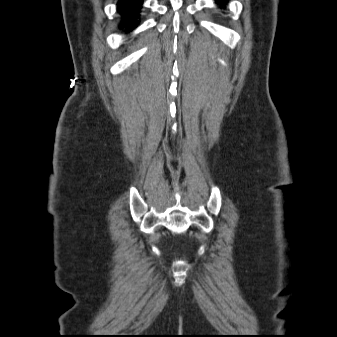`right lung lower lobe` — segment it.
<instances>
[{
  "label": "right lung lower lobe",
  "instance_id": "1",
  "mask_svg": "<svg viewBox=\"0 0 337 337\" xmlns=\"http://www.w3.org/2000/svg\"><path fill=\"white\" fill-rule=\"evenodd\" d=\"M143 0H119L118 12L122 15L121 28H125L126 32L131 31L138 24L140 6Z\"/></svg>",
  "mask_w": 337,
  "mask_h": 337
}]
</instances>
